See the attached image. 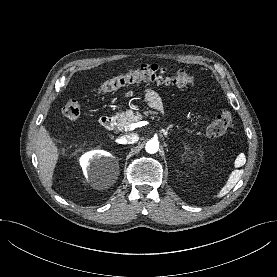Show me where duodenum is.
<instances>
[{"mask_svg": "<svg viewBox=\"0 0 277 277\" xmlns=\"http://www.w3.org/2000/svg\"><path fill=\"white\" fill-rule=\"evenodd\" d=\"M100 124L105 128V129H112L115 124V115H106L102 116L100 118Z\"/></svg>", "mask_w": 277, "mask_h": 277, "instance_id": "410a0bca", "label": "duodenum"}]
</instances>
